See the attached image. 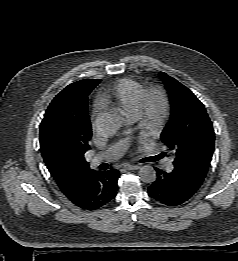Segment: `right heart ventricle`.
Segmentation results:
<instances>
[{
  "label": "right heart ventricle",
  "mask_w": 238,
  "mask_h": 261,
  "mask_svg": "<svg viewBox=\"0 0 238 261\" xmlns=\"http://www.w3.org/2000/svg\"><path fill=\"white\" fill-rule=\"evenodd\" d=\"M145 86L140 81L124 78L101 95V102L113 104L127 117L134 118L138 112Z\"/></svg>",
  "instance_id": "1"
}]
</instances>
